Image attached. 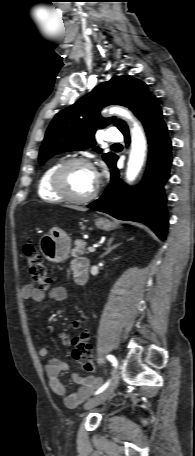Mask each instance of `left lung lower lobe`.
Masks as SVG:
<instances>
[{"label": "left lung lower lobe", "mask_w": 195, "mask_h": 456, "mask_svg": "<svg viewBox=\"0 0 195 456\" xmlns=\"http://www.w3.org/2000/svg\"><path fill=\"white\" fill-rule=\"evenodd\" d=\"M136 116L145 128L149 144L148 165L143 180L133 188L127 187L119 178L117 157L110 166L111 183L101 198L87 207L117 219L142 222L164 240L168 228L164 184L169 178L172 163L171 141L155 96L141 107ZM123 134L129 144L128 130Z\"/></svg>", "instance_id": "1"}]
</instances>
